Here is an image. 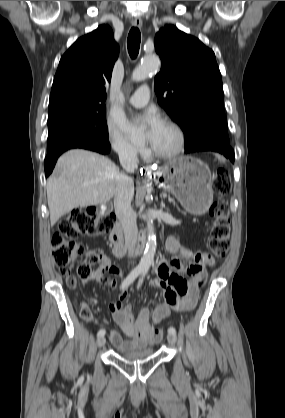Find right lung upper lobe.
Instances as JSON below:
<instances>
[{
  "mask_svg": "<svg viewBox=\"0 0 285 418\" xmlns=\"http://www.w3.org/2000/svg\"><path fill=\"white\" fill-rule=\"evenodd\" d=\"M119 48L113 32L101 25L79 38L62 56L49 104L59 101L103 103Z\"/></svg>",
  "mask_w": 285,
  "mask_h": 418,
  "instance_id": "cb5924a9",
  "label": "right lung upper lobe"
}]
</instances>
